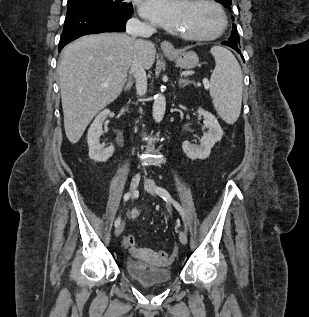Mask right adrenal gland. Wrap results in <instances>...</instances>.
Returning <instances> with one entry per match:
<instances>
[{"instance_id": "obj_1", "label": "right adrenal gland", "mask_w": 309, "mask_h": 317, "mask_svg": "<svg viewBox=\"0 0 309 317\" xmlns=\"http://www.w3.org/2000/svg\"><path fill=\"white\" fill-rule=\"evenodd\" d=\"M132 85H133L132 78L129 77V79L127 80L126 85L124 87V90L125 91H127V90L129 91L131 89Z\"/></svg>"}]
</instances>
